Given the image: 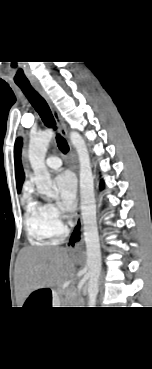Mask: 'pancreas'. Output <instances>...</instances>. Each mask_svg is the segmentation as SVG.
<instances>
[{"mask_svg":"<svg viewBox=\"0 0 152 369\" xmlns=\"http://www.w3.org/2000/svg\"><path fill=\"white\" fill-rule=\"evenodd\" d=\"M68 298H73L74 299V293H68Z\"/></svg>","mask_w":152,"mask_h":369,"instance_id":"pancreas-1","label":"pancreas"}]
</instances>
